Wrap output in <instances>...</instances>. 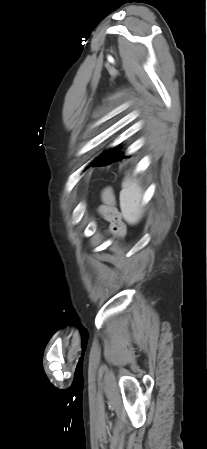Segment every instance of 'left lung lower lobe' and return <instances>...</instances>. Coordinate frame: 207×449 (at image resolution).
<instances>
[{
    "mask_svg": "<svg viewBox=\"0 0 207 449\" xmlns=\"http://www.w3.org/2000/svg\"><path fill=\"white\" fill-rule=\"evenodd\" d=\"M115 150H116V148H113V149L105 152L104 154L99 156L90 165L91 166L106 165V164H109V163L114 162L116 160H122L123 158H125V156H123V154H117Z\"/></svg>",
    "mask_w": 207,
    "mask_h": 449,
    "instance_id": "left-lung-lower-lobe-1",
    "label": "left lung lower lobe"
}]
</instances>
